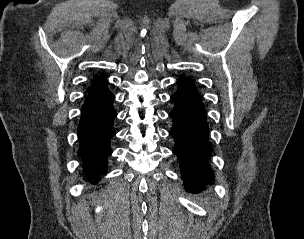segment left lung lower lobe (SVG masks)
<instances>
[{
	"label": "left lung lower lobe",
	"instance_id": "left-lung-lower-lobe-1",
	"mask_svg": "<svg viewBox=\"0 0 304 239\" xmlns=\"http://www.w3.org/2000/svg\"><path fill=\"white\" fill-rule=\"evenodd\" d=\"M178 90L171 96L174 108L170 135L175 139L173 153L177 155L182 179L188 192H197L214 177L208 164L211 154L206 112L200 95L186 78L178 81Z\"/></svg>",
	"mask_w": 304,
	"mask_h": 239
}]
</instances>
